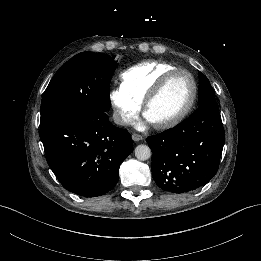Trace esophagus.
Segmentation results:
<instances>
[{"instance_id":"1","label":"esophagus","mask_w":261,"mask_h":261,"mask_svg":"<svg viewBox=\"0 0 261 261\" xmlns=\"http://www.w3.org/2000/svg\"><path fill=\"white\" fill-rule=\"evenodd\" d=\"M131 137H132V139H133L134 141H140V140L143 139L142 135L137 134V133L132 134Z\"/></svg>"}]
</instances>
